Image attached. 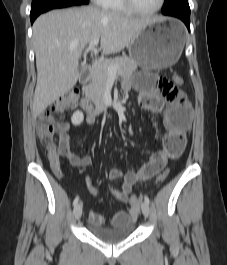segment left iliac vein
I'll return each mask as SVG.
<instances>
[{
  "instance_id": "left-iliac-vein-1",
  "label": "left iliac vein",
  "mask_w": 227,
  "mask_h": 265,
  "mask_svg": "<svg viewBox=\"0 0 227 265\" xmlns=\"http://www.w3.org/2000/svg\"><path fill=\"white\" fill-rule=\"evenodd\" d=\"M141 210H142V213L145 217H148L149 216V205L146 203V202H143L141 204Z\"/></svg>"
}]
</instances>
